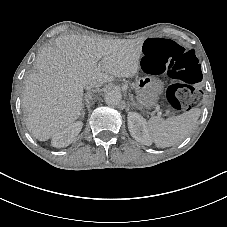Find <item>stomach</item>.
Returning a JSON list of instances; mask_svg holds the SVG:
<instances>
[{"instance_id":"0dacf381","label":"stomach","mask_w":227,"mask_h":227,"mask_svg":"<svg viewBox=\"0 0 227 227\" xmlns=\"http://www.w3.org/2000/svg\"><path fill=\"white\" fill-rule=\"evenodd\" d=\"M135 93L144 110L150 111L158 105L153 76L147 75L138 78L135 83Z\"/></svg>"}]
</instances>
